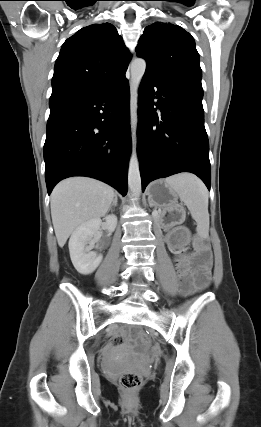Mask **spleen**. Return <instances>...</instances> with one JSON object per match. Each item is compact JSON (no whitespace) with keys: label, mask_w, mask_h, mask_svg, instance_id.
Here are the masks:
<instances>
[{"label":"spleen","mask_w":261,"mask_h":427,"mask_svg":"<svg viewBox=\"0 0 261 427\" xmlns=\"http://www.w3.org/2000/svg\"><path fill=\"white\" fill-rule=\"evenodd\" d=\"M189 209L197 224V233L202 237L209 234L208 191L203 182L189 173H181L165 180Z\"/></svg>","instance_id":"3e777b00"}]
</instances>
